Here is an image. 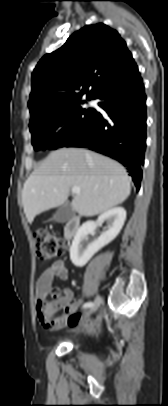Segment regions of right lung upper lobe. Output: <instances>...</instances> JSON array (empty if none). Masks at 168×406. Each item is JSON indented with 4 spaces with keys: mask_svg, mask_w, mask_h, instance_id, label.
Segmentation results:
<instances>
[{
    "mask_svg": "<svg viewBox=\"0 0 168 406\" xmlns=\"http://www.w3.org/2000/svg\"><path fill=\"white\" fill-rule=\"evenodd\" d=\"M138 71L132 54L119 33L98 23L73 33L58 50L46 54L32 73L28 106L30 123L87 99Z\"/></svg>",
    "mask_w": 168,
    "mask_h": 406,
    "instance_id": "cb5924a9",
    "label": "right lung upper lobe"
}]
</instances>
